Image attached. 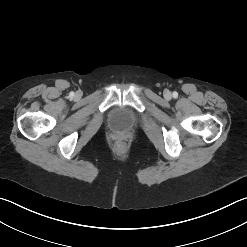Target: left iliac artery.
Wrapping results in <instances>:
<instances>
[{
  "instance_id": "left-iliac-artery-1",
  "label": "left iliac artery",
  "mask_w": 247,
  "mask_h": 247,
  "mask_svg": "<svg viewBox=\"0 0 247 247\" xmlns=\"http://www.w3.org/2000/svg\"><path fill=\"white\" fill-rule=\"evenodd\" d=\"M173 97L177 98L178 97V93L177 92H173Z\"/></svg>"
}]
</instances>
